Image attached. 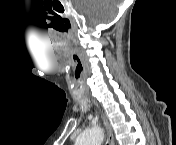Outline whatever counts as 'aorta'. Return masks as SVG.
<instances>
[{
    "instance_id": "1",
    "label": "aorta",
    "mask_w": 176,
    "mask_h": 145,
    "mask_svg": "<svg viewBox=\"0 0 176 145\" xmlns=\"http://www.w3.org/2000/svg\"><path fill=\"white\" fill-rule=\"evenodd\" d=\"M104 138L103 130L95 127L84 131L76 140L77 145H101Z\"/></svg>"
}]
</instances>
